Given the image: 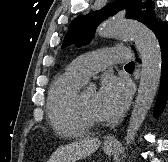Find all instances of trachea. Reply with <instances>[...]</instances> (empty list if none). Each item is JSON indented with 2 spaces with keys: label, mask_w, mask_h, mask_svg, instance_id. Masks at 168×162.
<instances>
[{
  "label": "trachea",
  "mask_w": 168,
  "mask_h": 162,
  "mask_svg": "<svg viewBox=\"0 0 168 162\" xmlns=\"http://www.w3.org/2000/svg\"><path fill=\"white\" fill-rule=\"evenodd\" d=\"M134 66H135L134 62H130V63L126 64L125 67H134Z\"/></svg>",
  "instance_id": "obj_1"
}]
</instances>
